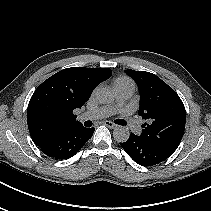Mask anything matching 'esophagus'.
Masks as SVG:
<instances>
[{"mask_svg": "<svg viewBox=\"0 0 211 211\" xmlns=\"http://www.w3.org/2000/svg\"><path fill=\"white\" fill-rule=\"evenodd\" d=\"M103 123H104V125H106L107 127L111 128V129H115L117 127L116 124H114L113 122L108 121V120L104 121Z\"/></svg>", "mask_w": 211, "mask_h": 211, "instance_id": "esophagus-1", "label": "esophagus"}]
</instances>
